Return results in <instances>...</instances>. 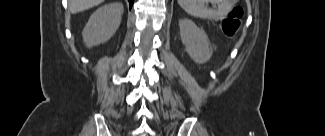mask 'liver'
Listing matches in <instances>:
<instances>
[{
	"label": "liver",
	"mask_w": 325,
	"mask_h": 136,
	"mask_svg": "<svg viewBox=\"0 0 325 136\" xmlns=\"http://www.w3.org/2000/svg\"><path fill=\"white\" fill-rule=\"evenodd\" d=\"M104 0H69L71 13H78L101 4Z\"/></svg>",
	"instance_id": "obj_1"
}]
</instances>
